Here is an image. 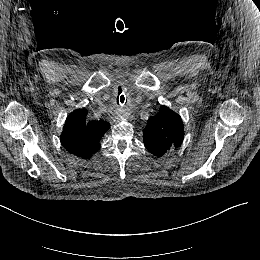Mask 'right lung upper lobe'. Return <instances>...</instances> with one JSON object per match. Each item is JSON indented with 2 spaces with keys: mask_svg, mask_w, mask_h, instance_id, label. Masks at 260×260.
<instances>
[{
  "mask_svg": "<svg viewBox=\"0 0 260 260\" xmlns=\"http://www.w3.org/2000/svg\"><path fill=\"white\" fill-rule=\"evenodd\" d=\"M109 128L108 122L89 121L87 110L77 109L65 121L61 143L71 154L88 159L99 150V142Z\"/></svg>",
  "mask_w": 260,
  "mask_h": 260,
  "instance_id": "obj_1",
  "label": "right lung upper lobe"
}]
</instances>
